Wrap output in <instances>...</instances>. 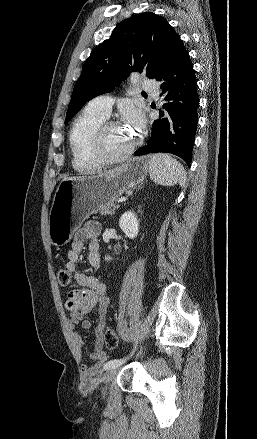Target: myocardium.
<instances>
[{
	"instance_id": "obj_1",
	"label": "myocardium",
	"mask_w": 257,
	"mask_h": 439,
	"mask_svg": "<svg viewBox=\"0 0 257 439\" xmlns=\"http://www.w3.org/2000/svg\"><path fill=\"white\" fill-rule=\"evenodd\" d=\"M118 121L113 120H105L103 121L96 129L93 139H92V147L93 152L99 161V163H110V162H118L126 159L131 153L134 151L136 146L139 143V139L135 140L130 146L115 155H109L104 147V136L105 131L115 125H119Z\"/></svg>"
}]
</instances>
